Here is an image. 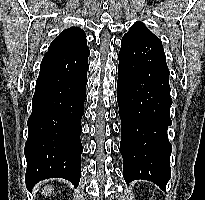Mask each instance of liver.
Listing matches in <instances>:
<instances>
[{"instance_id":"6515ba94","label":"liver","mask_w":205,"mask_h":200,"mask_svg":"<svg viewBox=\"0 0 205 200\" xmlns=\"http://www.w3.org/2000/svg\"><path fill=\"white\" fill-rule=\"evenodd\" d=\"M53 190V187H47L45 186L42 193L45 195V196H48L49 193H51V191Z\"/></svg>"}]
</instances>
